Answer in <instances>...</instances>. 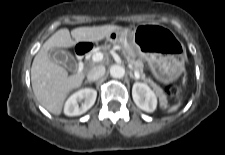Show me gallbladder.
Returning <instances> with one entry per match:
<instances>
[{
    "label": "gallbladder",
    "instance_id": "1",
    "mask_svg": "<svg viewBox=\"0 0 225 155\" xmlns=\"http://www.w3.org/2000/svg\"><path fill=\"white\" fill-rule=\"evenodd\" d=\"M48 55L52 61L65 66L70 71L77 70V62L71 53L63 49L52 48L49 50Z\"/></svg>",
    "mask_w": 225,
    "mask_h": 155
}]
</instances>
